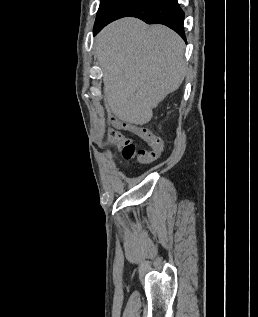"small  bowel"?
Masks as SVG:
<instances>
[{
    "label": "small bowel",
    "instance_id": "obj_1",
    "mask_svg": "<svg viewBox=\"0 0 258 317\" xmlns=\"http://www.w3.org/2000/svg\"><path fill=\"white\" fill-rule=\"evenodd\" d=\"M115 126L131 131L135 134H137L140 138L146 142V144L151 148V150L157 152L159 155L163 152L165 144L162 138L155 135L150 130L141 127L139 125H135L128 122H123L116 120L114 121Z\"/></svg>",
    "mask_w": 258,
    "mask_h": 317
}]
</instances>
